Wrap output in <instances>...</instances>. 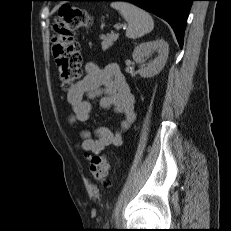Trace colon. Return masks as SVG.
Returning <instances> with one entry per match:
<instances>
[{
    "instance_id": "5ec220e1",
    "label": "colon",
    "mask_w": 231,
    "mask_h": 231,
    "mask_svg": "<svg viewBox=\"0 0 231 231\" xmlns=\"http://www.w3.org/2000/svg\"><path fill=\"white\" fill-rule=\"evenodd\" d=\"M91 23L90 15L80 7L65 4L59 8L55 23L56 35L53 39V56L59 80L66 89L71 88L81 77L79 44L75 32ZM110 164L106 156L95 154L90 158V174L98 182H106Z\"/></svg>"
}]
</instances>
